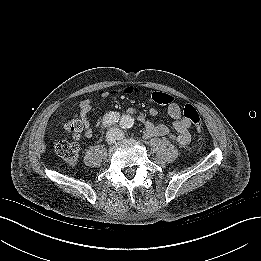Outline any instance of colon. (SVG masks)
<instances>
[{
  "label": "colon",
  "instance_id": "5ec220e1",
  "mask_svg": "<svg viewBox=\"0 0 261 261\" xmlns=\"http://www.w3.org/2000/svg\"><path fill=\"white\" fill-rule=\"evenodd\" d=\"M124 92L131 94L136 92V89L134 87H127L124 89ZM152 95L158 104L164 105L173 101V97L171 95L163 92L156 91L153 92ZM183 114L184 117L190 120V122L194 125L198 134L197 142L200 144L203 140V126L198 110L193 105L186 104L184 106ZM64 129L68 135L77 138L83 130V124L78 116L73 115L65 119ZM56 153L64 162L68 164H75L79 156V146L75 143L61 141L56 145Z\"/></svg>",
  "mask_w": 261,
  "mask_h": 261
}]
</instances>
